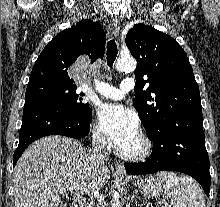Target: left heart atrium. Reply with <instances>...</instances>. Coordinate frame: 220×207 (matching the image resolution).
<instances>
[{"label": "left heart atrium", "mask_w": 220, "mask_h": 207, "mask_svg": "<svg viewBox=\"0 0 220 207\" xmlns=\"http://www.w3.org/2000/svg\"><path fill=\"white\" fill-rule=\"evenodd\" d=\"M98 120L104 133L120 148L138 134L136 115L120 104H106L98 111Z\"/></svg>", "instance_id": "left-heart-atrium-1"}]
</instances>
